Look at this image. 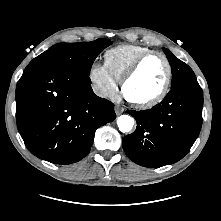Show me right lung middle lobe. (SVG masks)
<instances>
[{
	"label": "right lung middle lobe",
	"mask_w": 221,
	"mask_h": 221,
	"mask_svg": "<svg viewBox=\"0 0 221 221\" xmlns=\"http://www.w3.org/2000/svg\"><path fill=\"white\" fill-rule=\"evenodd\" d=\"M111 43L108 39H97L92 42L59 43L34 58L26 68L50 66L76 70L89 75L97 55Z\"/></svg>",
	"instance_id": "right-lung-middle-lobe-1"
}]
</instances>
